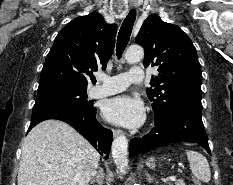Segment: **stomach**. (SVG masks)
Returning a JSON list of instances; mask_svg holds the SVG:
<instances>
[{"label":"stomach","instance_id":"obj_1","mask_svg":"<svg viewBox=\"0 0 233 185\" xmlns=\"http://www.w3.org/2000/svg\"><path fill=\"white\" fill-rule=\"evenodd\" d=\"M146 163L148 166H154V159L150 158V159H148V161Z\"/></svg>","mask_w":233,"mask_h":185}]
</instances>
